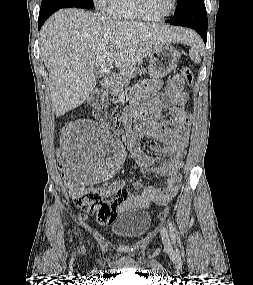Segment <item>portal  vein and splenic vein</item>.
<instances>
[{"mask_svg":"<svg viewBox=\"0 0 253 285\" xmlns=\"http://www.w3.org/2000/svg\"><path fill=\"white\" fill-rule=\"evenodd\" d=\"M115 47L120 48L121 46L119 44H114Z\"/></svg>","mask_w":253,"mask_h":285,"instance_id":"18ae733b","label":"portal vein and splenic vein"}]
</instances>
